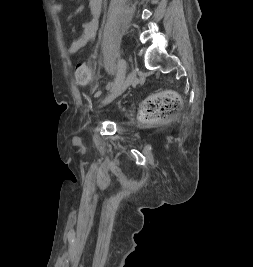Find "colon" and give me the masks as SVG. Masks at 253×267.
I'll use <instances>...</instances> for the list:
<instances>
[{
    "label": "colon",
    "instance_id": "1",
    "mask_svg": "<svg viewBox=\"0 0 253 267\" xmlns=\"http://www.w3.org/2000/svg\"><path fill=\"white\" fill-rule=\"evenodd\" d=\"M75 77L79 83L90 79V72L85 64H79L75 69ZM182 106L179 94L175 91H164L148 97L142 106V113L148 119H163L176 114Z\"/></svg>",
    "mask_w": 253,
    "mask_h": 267
}]
</instances>
